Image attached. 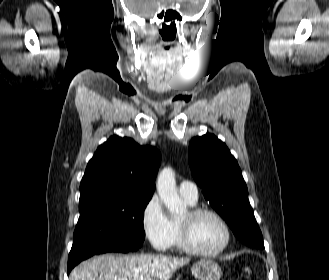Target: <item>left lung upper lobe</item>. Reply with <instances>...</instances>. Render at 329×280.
<instances>
[{"label":"left lung upper lobe","mask_w":329,"mask_h":280,"mask_svg":"<svg viewBox=\"0 0 329 280\" xmlns=\"http://www.w3.org/2000/svg\"><path fill=\"white\" fill-rule=\"evenodd\" d=\"M189 165L205 198L248 246L264 248L262 233L248 200V190L236 159L213 134L194 137L189 145Z\"/></svg>","instance_id":"obj_1"}]
</instances>
